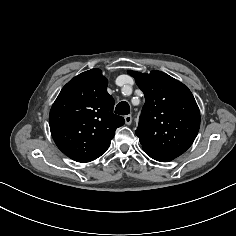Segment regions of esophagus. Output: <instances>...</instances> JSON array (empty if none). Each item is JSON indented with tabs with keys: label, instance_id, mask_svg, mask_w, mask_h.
<instances>
[{
	"label": "esophagus",
	"instance_id": "esophagus-1",
	"mask_svg": "<svg viewBox=\"0 0 236 236\" xmlns=\"http://www.w3.org/2000/svg\"><path fill=\"white\" fill-rule=\"evenodd\" d=\"M124 119H125V123H126L127 125H130V124L132 123V116H131V115H126V116L124 117Z\"/></svg>",
	"mask_w": 236,
	"mask_h": 236
}]
</instances>
